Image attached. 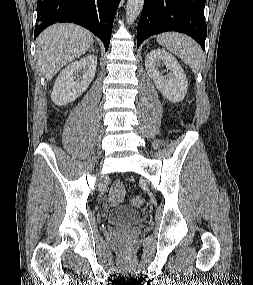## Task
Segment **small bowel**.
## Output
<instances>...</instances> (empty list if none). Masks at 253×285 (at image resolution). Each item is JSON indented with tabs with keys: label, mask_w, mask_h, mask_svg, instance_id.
<instances>
[{
	"label": "small bowel",
	"mask_w": 253,
	"mask_h": 285,
	"mask_svg": "<svg viewBox=\"0 0 253 285\" xmlns=\"http://www.w3.org/2000/svg\"><path fill=\"white\" fill-rule=\"evenodd\" d=\"M125 198L126 192L121 181H115L114 184L111 186L108 194V203L111 206H117L123 203Z\"/></svg>",
	"instance_id": "small-bowel-1"
}]
</instances>
